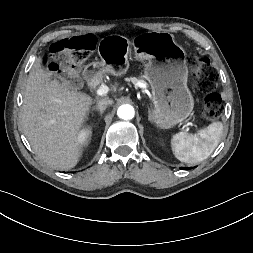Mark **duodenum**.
<instances>
[{
    "label": "duodenum",
    "mask_w": 253,
    "mask_h": 253,
    "mask_svg": "<svg viewBox=\"0 0 253 253\" xmlns=\"http://www.w3.org/2000/svg\"><path fill=\"white\" fill-rule=\"evenodd\" d=\"M88 76H89V83L91 85L95 84V78L93 77V74L89 73Z\"/></svg>",
    "instance_id": "1"
}]
</instances>
